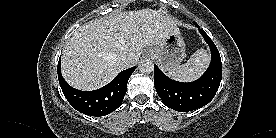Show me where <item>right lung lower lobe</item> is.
Listing matches in <instances>:
<instances>
[{
    "label": "right lung lower lobe",
    "instance_id": "right-lung-lower-lobe-1",
    "mask_svg": "<svg viewBox=\"0 0 276 138\" xmlns=\"http://www.w3.org/2000/svg\"><path fill=\"white\" fill-rule=\"evenodd\" d=\"M135 68L124 70L106 86L87 92L71 87L64 80L60 71V59L57 70L62 92L71 106L86 115L99 117L113 112L121 105L127 91L128 79Z\"/></svg>",
    "mask_w": 276,
    "mask_h": 138
}]
</instances>
